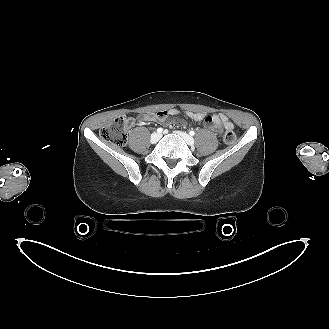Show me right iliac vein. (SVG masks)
I'll list each match as a JSON object with an SVG mask.
<instances>
[{"label":"right iliac vein","instance_id":"1","mask_svg":"<svg viewBox=\"0 0 329 329\" xmlns=\"http://www.w3.org/2000/svg\"><path fill=\"white\" fill-rule=\"evenodd\" d=\"M160 137H161L160 134H158V133H153V134L151 135L150 142H151L152 144H155V143L160 139Z\"/></svg>","mask_w":329,"mask_h":329}]
</instances>
